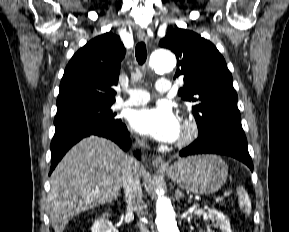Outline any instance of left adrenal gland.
Listing matches in <instances>:
<instances>
[{
    "mask_svg": "<svg viewBox=\"0 0 289 232\" xmlns=\"http://www.w3.org/2000/svg\"><path fill=\"white\" fill-rule=\"evenodd\" d=\"M183 197H184L183 193L179 189H176V191H175L176 200L179 201Z\"/></svg>",
    "mask_w": 289,
    "mask_h": 232,
    "instance_id": "obj_1",
    "label": "left adrenal gland"
}]
</instances>
